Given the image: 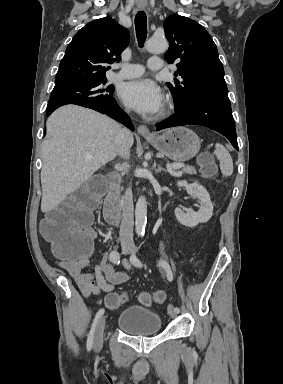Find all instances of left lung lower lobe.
I'll return each instance as SVG.
<instances>
[{
    "mask_svg": "<svg viewBox=\"0 0 283 384\" xmlns=\"http://www.w3.org/2000/svg\"><path fill=\"white\" fill-rule=\"evenodd\" d=\"M182 125H202L224 136L238 150L234 119L228 97L199 99L178 110L168 119L157 123L156 130Z\"/></svg>",
    "mask_w": 283,
    "mask_h": 384,
    "instance_id": "left-lung-lower-lobe-1",
    "label": "left lung lower lobe"
}]
</instances>
